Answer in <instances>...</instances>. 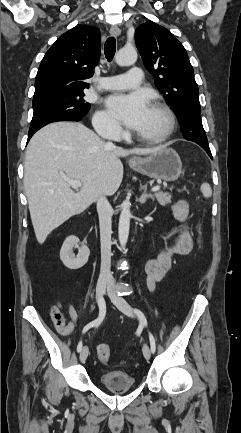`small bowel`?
<instances>
[{
	"instance_id": "1",
	"label": "small bowel",
	"mask_w": 241,
	"mask_h": 433,
	"mask_svg": "<svg viewBox=\"0 0 241 433\" xmlns=\"http://www.w3.org/2000/svg\"><path fill=\"white\" fill-rule=\"evenodd\" d=\"M173 214L180 223L179 235L173 246L162 251L156 258L147 262L145 267L147 275L146 281L150 290H154L157 283L162 281L167 272L170 270L172 265V257L174 255H187L193 248V240L187 224L189 214L187 202L185 200H179L176 202L173 206ZM68 314L70 320L69 322H66L57 305H53L50 309V316L54 323L55 329L63 336L71 335L74 332L78 322V314L72 304L68 305Z\"/></svg>"
}]
</instances>
